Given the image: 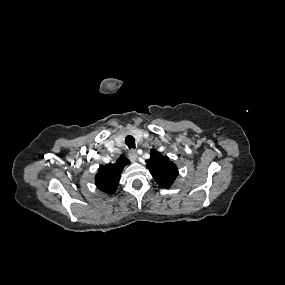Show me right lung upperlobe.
I'll use <instances>...</instances> for the list:
<instances>
[{
  "mask_svg": "<svg viewBox=\"0 0 285 285\" xmlns=\"http://www.w3.org/2000/svg\"><path fill=\"white\" fill-rule=\"evenodd\" d=\"M129 160L121 155L115 164L101 165L95 177L96 186L103 192L112 194L117 189L123 168Z\"/></svg>",
  "mask_w": 285,
  "mask_h": 285,
  "instance_id": "1",
  "label": "right lung upper lobe"
}]
</instances>
